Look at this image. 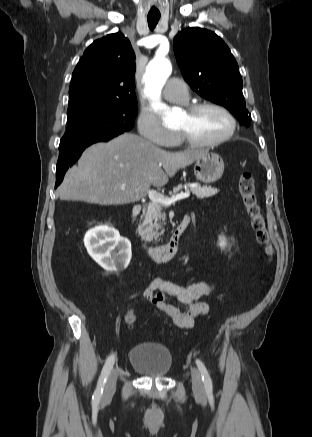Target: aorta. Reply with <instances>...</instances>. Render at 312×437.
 Listing matches in <instances>:
<instances>
[{
    "label": "aorta",
    "mask_w": 312,
    "mask_h": 437,
    "mask_svg": "<svg viewBox=\"0 0 312 437\" xmlns=\"http://www.w3.org/2000/svg\"><path fill=\"white\" fill-rule=\"evenodd\" d=\"M171 72L170 62L156 57L149 62L144 75V93L152 99V107L163 113L162 120L164 123H170L174 119L170 108L160 100L162 88Z\"/></svg>",
    "instance_id": "obj_1"
}]
</instances>
